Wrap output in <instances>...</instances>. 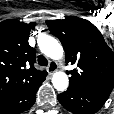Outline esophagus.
Wrapping results in <instances>:
<instances>
[{
	"mask_svg": "<svg viewBox=\"0 0 114 114\" xmlns=\"http://www.w3.org/2000/svg\"><path fill=\"white\" fill-rule=\"evenodd\" d=\"M47 70H48V73L50 75H52L57 70V64L55 62L51 61L49 63Z\"/></svg>",
	"mask_w": 114,
	"mask_h": 114,
	"instance_id": "obj_1",
	"label": "esophagus"
}]
</instances>
